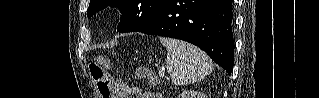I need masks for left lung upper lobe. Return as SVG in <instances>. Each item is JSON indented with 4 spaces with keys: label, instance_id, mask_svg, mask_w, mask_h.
<instances>
[{
    "label": "left lung upper lobe",
    "instance_id": "5c2ea615",
    "mask_svg": "<svg viewBox=\"0 0 319 98\" xmlns=\"http://www.w3.org/2000/svg\"><path fill=\"white\" fill-rule=\"evenodd\" d=\"M163 0H90L87 16L106 6L118 7L122 18L117 26L119 32H132L144 26L156 13Z\"/></svg>",
    "mask_w": 319,
    "mask_h": 98
}]
</instances>
